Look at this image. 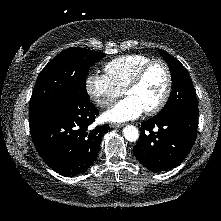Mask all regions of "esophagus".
Segmentation results:
<instances>
[{"label":"esophagus","mask_w":221,"mask_h":221,"mask_svg":"<svg viewBox=\"0 0 221 221\" xmlns=\"http://www.w3.org/2000/svg\"><path fill=\"white\" fill-rule=\"evenodd\" d=\"M112 128H121L124 126V124L121 123H111L110 125Z\"/></svg>","instance_id":"obj_1"}]
</instances>
